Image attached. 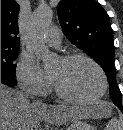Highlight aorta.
Instances as JSON below:
<instances>
[{
    "label": "aorta",
    "mask_w": 123,
    "mask_h": 130,
    "mask_svg": "<svg viewBox=\"0 0 123 130\" xmlns=\"http://www.w3.org/2000/svg\"><path fill=\"white\" fill-rule=\"evenodd\" d=\"M52 18L53 11L50 7H38L33 12L27 37V45L45 65L50 64L53 60V55L45 43V34L51 25Z\"/></svg>",
    "instance_id": "aorta-1"
}]
</instances>
